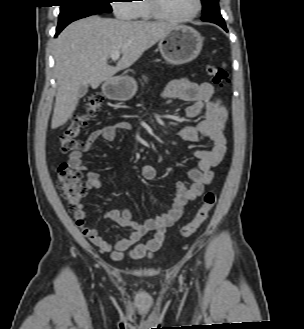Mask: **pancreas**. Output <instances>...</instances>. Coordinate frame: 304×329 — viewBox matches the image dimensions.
I'll return each instance as SVG.
<instances>
[{
  "label": "pancreas",
  "instance_id": "obj_1",
  "mask_svg": "<svg viewBox=\"0 0 304 329\" xmlns=\"http://www.w3.org/2000/svg\"><path fill=\"white\" fill-rule=\"evenodd\" d=\"M144 81H147V77L143 76Z\"/></svg>",
  "mask_w": 304,
  "mask_h": 329
}]
</instances>
